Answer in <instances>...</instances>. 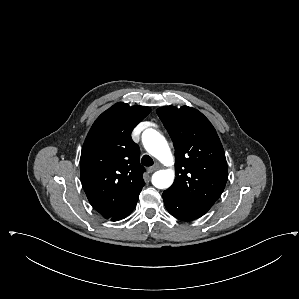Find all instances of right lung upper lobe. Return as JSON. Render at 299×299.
Wrapping results in <instances>:
<instances>
[{
    "instance_id": "1",
    "label": "right lung upper lobe",
    "mask_w": 299,
    "mask_h": 299,
    "mask_svg": "<svg viewBox=\"0 0 299 299\" xmlns=\"http://www.w3.org/2000/svg\"><path fill=\"white\" fill-rule=\"evenodd\" d=\"M150 108L117 103L92 125L82 148L80 175L90 204L110 219L139 197L144 167L132 130Z\"/></svg>"
}]
</instances>
